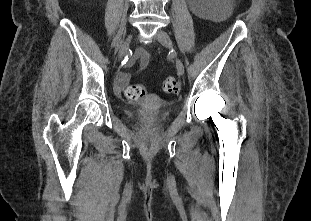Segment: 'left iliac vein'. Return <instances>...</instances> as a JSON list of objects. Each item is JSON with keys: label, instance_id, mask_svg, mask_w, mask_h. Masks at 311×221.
I'll return each instance as SVG.
<instances>
[{"label": "left iliac vein", "instance_id": "4c4485c4", "mask_svg": "<svg viewBox=\"0 0 311 221\" xmlns=\"http://www.w3.org/2000/svg\"><path fill=\"white\" fill-rule=\"evenodd\" d=\"M155 39L163 46L171 48V39L164 30H158L155 34ZM176 70L179 76H183L185 69L180 59H176Z\"/></svg>", "mask_w": 311, "mask_h": 221}]
</instances>
